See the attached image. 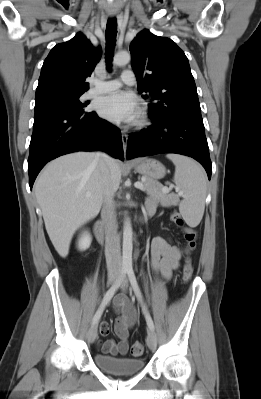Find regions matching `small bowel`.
<instances>
[{"label": "small bowel", "instance_id": "1", "mask_svg": "<svg viewBox=\"0 0 261 399\" xmlns=\"http://www.w3.org/2000/svg\"><path fill=\"white\" fill-rule=\"evenodd\" d=\"M157 204V200L154 197H148L145 208L146 210L154 211ZM185 252V249L176 245H170L160 237L154 238L151 243L152 269L155 272L161 273L165 278H170L173 271L179 267L180 260ZM114 308L118 313L114 330L119 342L115 343L112 340H107L100 343V349L104 354L125 355L129 349V330L135 324L137 315L134 307L123 294L115 298ZM99 332L101 336L109 335L110 327L106 321L101 322Z\"/></svg>", "mask_w": 261, "mask_h": 399}]
</instances>
